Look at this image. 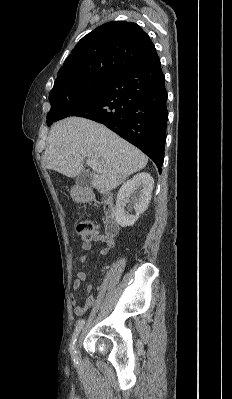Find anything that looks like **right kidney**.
Listing matches in <instances>:
<instances>
[{"instance_id":"obj_1","label":"right kidney","mask_w":232,"mask_h":399,"mask_svg":"<svg viewBox=\"0 0 232 399\" xmlns=\"http://www.w3.org/2000/svg\"><path fill=\"white\" fill-rule=\"evenodd\" d=\"M153 188L154 180L147 172L136 174L131 180H127V182L123 184L117 194L115 209V217L119 225L126 227V225H133L134 221H137L138 217H140V213H144L149 205ZM130 196L135 200V215H130L123 207L122 200H124V198H130Z\"/></svg>"}]
</instances>
